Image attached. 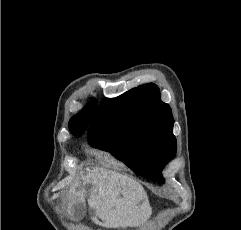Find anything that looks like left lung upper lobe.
I'll return each instance as SVG.
<instances>
[{"instance_id": "1", "label": "left lung upper lobe", "mask_w": 241, "mask_h": 230, "mask_svg": "<svg viewBox=\"0 0 241 230\" xmlns=\"http://www.w3.org/2000/svg\"><path fill=\"white\" fill-rule=\"evenodd\" d=\"M173 124L170 106L149 83L103 99L87 138L92 147L115 154L137 174L159 181L163 166L176 154Z\"/></svg>"}]
</instances>
